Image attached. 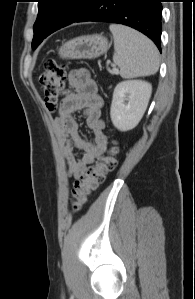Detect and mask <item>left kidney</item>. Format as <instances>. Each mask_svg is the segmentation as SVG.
<instances>
[{
	"label": "left kidney",
	"mask_w": 195,
	"mask_h": 299,
	"mask_svg": "<svg viewBox=\"0 0 195 299\" xmlns=\"http://www.w3.org/2000/svg\"><path fill=\"white\" fill-rule=\"evenodd\" d=\"M151 92V84L142 80L120 82L114 89L110 109L113 125L124 132L135 128L146 111Z\"/></svg>",
	"instance_id": "5707ae66"
}]
</instances>
